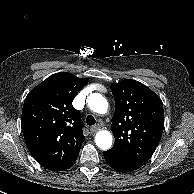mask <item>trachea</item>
<instances>
[{
    "label": "trachea",
    "mask_w": 194,
    "mask_h": 194,
    "mask_svg": "<svg viewBox=\"0 0 194 194\" xmlns=\"http://www.w3.org/2000/svg\"><path fill=\"white\" fill-rule=\"evenodd\" d=\"M87 125H94L96 123L95 118L92 115H88L86 118Z\"/></svg>",
    "instance_id": "1"
}]
</instances>
